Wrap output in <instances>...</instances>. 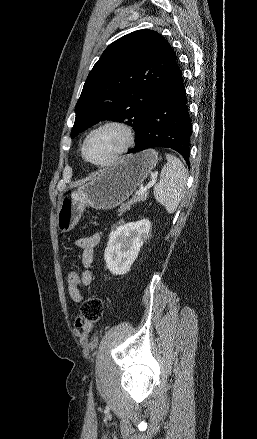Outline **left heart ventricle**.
Returning <instances> with one entry per match:
<instances>
[{"instance_id":"1","label":"left heart ventricle","mask_w":257,"mask_h":439,"mask_svg":"<svg viewBox=\"0 0 257 439\" xmlns=\"http://www.w3.org/2000/svg\"><path fill=\"white\" fill-rule=\"evenodd\" d=\"M122 145L121 133L116 129L106 128L91 137L87 145V155L95 162H102L116 153Z\"/></svg>"}]
</instances>
